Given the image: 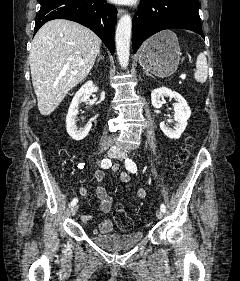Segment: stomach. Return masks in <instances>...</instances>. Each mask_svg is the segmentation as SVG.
<instances>
[{
  "instance_id": "1",
  "label": "stomach",
  "mask_w": 240,
  "mask_h": 281,
  "mask_svg": "<svg viewBox=\"0 0 240 281\" xmlns=\"http://www.w3.org/2000/svg\"><path fill=\"white\" fill-rule=\"evenodd\" d=\"M180 55L178 38L170 30L162 31L148 39L138 54L140 65L161 78L168 77L177 70Z\"/></svg>"
}]
</instances>
